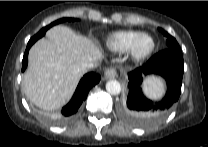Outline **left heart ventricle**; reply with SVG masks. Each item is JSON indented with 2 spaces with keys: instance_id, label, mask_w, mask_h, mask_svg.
<instances>
[{
  "instance_id": "obj_1",
  "label": "left heart ventricle",
  "mask_w": 208,
  "mask_h": 147,
  "mask_svg": "<svg viewBox=\"0 0 208 147\" xmlns=\"http://www.w3.org/2000/svg\"><path fill=\"white\" fill-rule=\"evenodd\" d=\"M152 45V41L149 37L143 38L138 45V51L143 53L147 51Z\"/></svg>"
}]
</instances>
